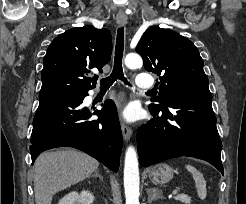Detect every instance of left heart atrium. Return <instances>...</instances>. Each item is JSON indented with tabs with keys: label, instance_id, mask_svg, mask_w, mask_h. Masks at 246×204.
Wrapping results in <instances>:
<instances>
[{
	"label": "left heart atrium",
	"instance_id": "left-heart-atrium-1",
	"mask_svg": "<svg viewBox=\"0 0 246 204\" xmlns=\"http://www.w3.org/2000/svg\"><path fill=\"white\" fill-rule=\"evenodd\" d=\"M122 116L128 121H133L137 117V112L134 108L127 107L126 109L123 110Z\"/></svg>",
	"mask_w": 246,
	"mask_h": 204
}]
</instances>
